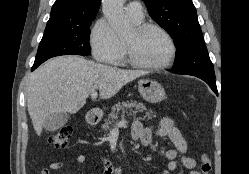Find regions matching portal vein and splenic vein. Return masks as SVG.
Masks as SVG:
<instances>
[{"instance_id":"18ae733b","label":"portal vein and splenic vein","mask_w":249,"mask_h":174,"mask_svg":"<svg viewBox=\"0 0 249 174\" xmlns=\"http://www.w3.org/2000/svg\"><path fill=\"white\" fill-rule=\"evenodd\" d=\"M91 98L92 99H96L97 98V92L96 91H93L91 93ZM127 124V121L126 120H122V121H119L118 123H116L115 127H114V130H118L120 127H123Z\"/></svg>"}]
</instances>
